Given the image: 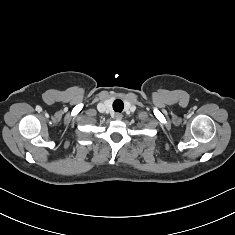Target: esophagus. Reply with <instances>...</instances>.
Segmentation results:
<instances>
[{"mask_svg":"<svg viewBox=\"0 0 235 235\" xmlns=\"http://www.w3.org/2000/svg\"><path fill=\"white\" fill-rule=\"evenodd\" d=\"M122 117H123V115H122L121 113H115L114 118H115L116 120H121Z\"/></svg>","mask_w":235,"mask_h":235,"instance_id":"esophagus-1","label":"esophagus"}]
</instances>
